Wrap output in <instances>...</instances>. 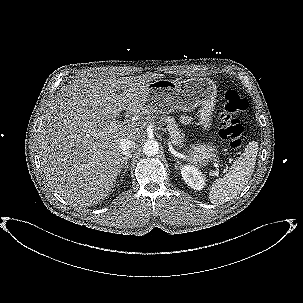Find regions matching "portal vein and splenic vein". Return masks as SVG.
<instances>
[{
    "instance_id": "1",
    "label": "portal vein and splenic vein",
    "mask_w": 303,
    "mask_h": 303,
    "mask_svg": "<svg viewBox=\"0 0 303 303\" xmlns=\"http://www.w3.org/2000/svg\"><path fill=\"white\" fill-rule=\"evenodd\" d=\"M119 127H121V124H119V123H117V122H115V121L110 122V123H109V126H107L108 130H110V131L116 130V129H118ZM215 166L218 167L217 164H215Z\"/></svg>"
}]
</instances>
